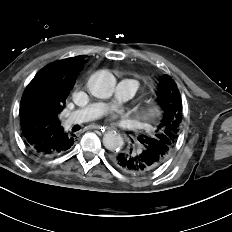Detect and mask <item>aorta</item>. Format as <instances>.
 <instances>
[{
	"label": "aorta",
	"instance_id": "aorta-1",
	"mask_svg": "<svg viewBox=\"0 0 232 232\" xmlns=\"http://www.w3.org/2000/svg\"><path fill=\"white\" fill-rule=\"evenodd\" d=\"M115 78L108 71H99L93 74L89 81L88 87L91 94L97 98H109L114 91ZM124 142L122 137L115 131H109L104 134L103 145L110 151H116L122 148Z\"/></svg>",
	"mask_w": 232,
	"mask_h": 232
}]
</instances>
